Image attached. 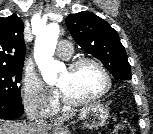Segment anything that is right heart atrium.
<instances>
[{
  "mask_svg": "<svg viewBox=\"0 0 153 134\" xmlns=\"http://www.w3.org/2000/svg\"><path fill=\"white\" fill-rule=\"evenodd\" d=\"M23 104L28 113L36 117H49L58 104V94L34 72L23 79Z\"/></svg>",
  "mask_w": 153,
  "mask_h": 134,
  "instance_id": "1",
  "label": "right heart atrium"
}]
</instances>
